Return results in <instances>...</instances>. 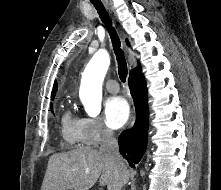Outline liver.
<instances>
[{"label": "liver", "mask_w": 221, "mask_h": 190, "mask_svg": "<svg viewBox=\"0 0 221 190\" xmlns=\"http://www.w3.org/2000/svg\"><path fill=\"white\" fill-rule=\"evenodd\" d=\"M108 190H120L129 179L127 166L121 170L100 151L81 147L53 154L41 190H89L99 179Z\"/></svg>", "instance_id": "1"}]
</instances>
